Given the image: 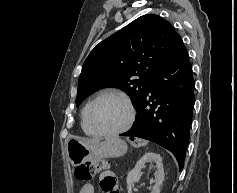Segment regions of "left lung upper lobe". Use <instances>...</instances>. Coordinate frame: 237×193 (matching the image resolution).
Masks as SVG:
<instances>
[{
    "label": "left lung upper lobe",
    "instance_id": "obj_1",
    "mask_svg": "<svg viewBox=\"0 0 237 193\" xmlns=\"http://www.w3.org/2000/svg\"><path fill=\"white\" fill-rule=\"evenodd\" d=\"M182 41L158 15H143L94 47L78 82L76 105L105 87L124 90L136 107L155 75Z\"/></svg>",
    "mask_w": 237,
    "mask_h": 193
}]
</instances>
